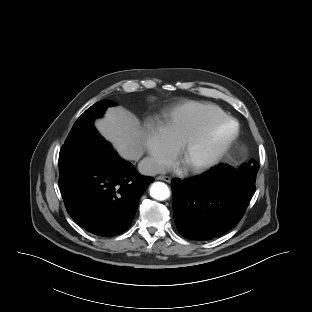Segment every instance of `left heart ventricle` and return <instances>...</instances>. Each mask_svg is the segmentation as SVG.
<instances>
[{
  "mask_svg": "<svg viewBox=\"0 0 312 312\" xmlns=\"http://www.w3.org/2000/svg\"><path fill=\"white\" fill-rule=\"evenodd\" d=\"M231 128L228 125L218 128L205 141L193 148L183 159L182 162L188 166L200 162L228 135Z\"/></svg>",
  "mask_w": 312,
  "mask_h": 312,
  "instance_id": "1",
  "label": "left heart ventricle"
}]
</instances>
